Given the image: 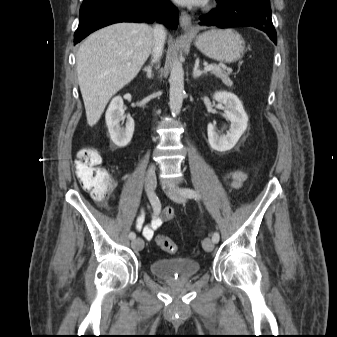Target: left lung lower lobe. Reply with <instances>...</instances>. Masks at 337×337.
Instances as JSON below:
<instances>
[{
  "label": "left lung lower lobe",
  "mask_w": 337,
  "mask_h": 337,
  "mask_svg": "<svg viewBox=\"0 0 337 337\" xmlns=\"http://www.w3.org/2000/svg\"><path fill=\"white\" fill-rule=\"evenodd\" d=\"M218 7L200 17V25L255 27L265 32L277 44L269 0H217Z\"/></svg>",
  "instance_id": "left-lung-lower-lobe-1"
}]
</instances>
